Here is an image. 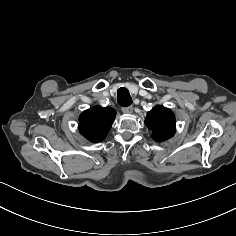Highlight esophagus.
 <instances>
[{"label": "esophagus", "mask_w": 236, "mask_h": 236, "mask_svg": "<svg viewBox=\"0 0 236 236\" xmlns=\"http://www.w3.org/2000/svg\"><path fill=\"white\" fill-rule=\"evenodd\" d=\"M122 112L125 114H131L133 112V107L132 106L123 107Z\"/></svg>", "instance_id": "esophagus-1"}]
</instances>
